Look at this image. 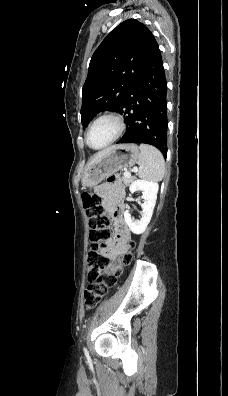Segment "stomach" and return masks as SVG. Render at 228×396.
I'll list each match as a JSON object with an SVG mask.
<instances>
[{"label":"stomach","mask_w":228,"mask_h":396,"mask_svg":"<svg viewBox=\"0 0 228 396\" xmlns=\"http://www.w3.org/2000/svg\"><path fill=\"white\" fill-rule=\"evenodd\" d=\"M139 156L140 152L136 144L116 145L109 153L86 168L82 176V185L85 187L96 186L108 175L133 166Z\"/></svg>","instance_id":"obj_1"}]
</instances>
